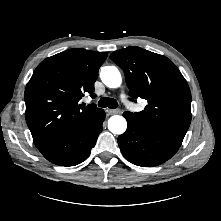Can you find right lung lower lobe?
Listing matches in <instances>:
<instances>
[{"instance_id": "obj_1", "label": "right lung lower lobe", "mask_w": 221, "mask_h": 221, "mask_svg": "<svg viewBox=\"0 0 221 221\" xmlns=\"http://www.w3.org/2000/svg\"><path fill=\"white\" fill-rule=\"evenodd\" d=\"M105 115L102 110L89 117L70 136L39 147V151L47 160L60 166H74L83 162L102 131Z\"/></svg>"}]
</instances>
